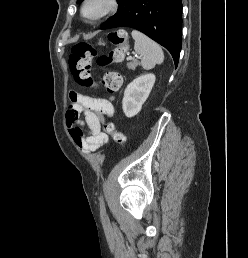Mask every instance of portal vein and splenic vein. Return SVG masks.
<instances>
[{
	"label": "portal vein and splenic vein",
	"mask_w": 248,
	"mask_h": 258,
	"mask_svg": "<svg viewBox=\"0 0 248 258\" xmlns=\"http://www.w3.org/2000/svg\"><path fill=\"white\" fill-rule=\"evenodd\" d=\"M137 58H140V57H137ZM128 59H129V60H132V59H133V57H132V56H129V57H128Z\"/></svg>",
	"instance_id": "1"
}]
</instances>
